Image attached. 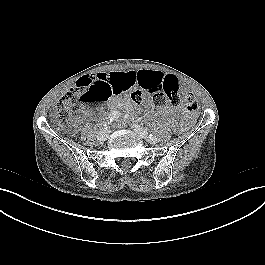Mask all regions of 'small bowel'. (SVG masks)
<instances>
[{"mask_svg": "<svg viewBox=\"0 0 265 265\" xmlns=\"http://www.w3.org/2000/svg\"><path fill=\"white\" fill-rule=\"evenodd\" d=\"M94 76L106 77L107 85L112 89L113 95L119 96L135 86H139L145 91L155 89L162 84L166 74L158 70H140L98 73ZM186 95L190 96L189 94ZM111 104L113 106L132 108V103L129 100L120 101L115 98L112 100ZM161 112L166 115H172L174 113V108L172 106H166Z\"/></svg>", "mask_w": 265, "mask_h": 265, "instance_id": "small-bowel-1", "label": "small bowel"}]
</instances>
